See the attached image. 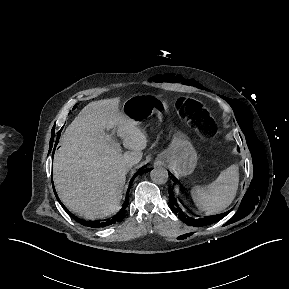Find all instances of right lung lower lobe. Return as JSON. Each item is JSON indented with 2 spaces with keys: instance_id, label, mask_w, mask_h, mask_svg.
Here are the masks:
<instances>
[{
  "instance_id": "1",
  "label": "right lung lower lobe",
  "mask_w": 289,
  "mask_h": 289,
  "mask_svg": "<svg viewBox=\"0 0 289 289\" xmlns=\"http://www.w3.org/2000/svg\"><path fill=\"white\" fill-rule=\"evenodd\" d=\"M149 170H139L131 179L130 181V185H129V188L127 190V194H126V198H125V203L123 205V207L121 208V210L116 214L114 215L112 218L110 219H107V220H102V221H84V220H81L79 218H77L76 216H74L64 205L63 208L65 209V211L74 219L76 220L77 222H79L80 224H82L83 226H88V227H92V228H100V227H106V226H109V225H112V224H115V223H118V222H121L124 218V215H125V212H126V207L128 205V202H129V190H130V187L132 185V182L134 180V178L138 175V174H141V173H144V172H148ZM57 196V194H56Z\"/></svg>"
}]
</instances>
